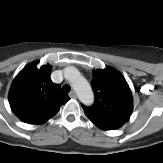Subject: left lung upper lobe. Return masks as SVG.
Here are the masks:
<instances>
[{
	"mask_svg": "<svg viewBox=\"0 0 163 163\" xmlns=\"http://www.w3.org/2000/svg\"><path fill=\"white\" fill-rule=\"evenodd\" d=\"M92 88L95 103L82 105L86 116L95 124L122 126L133 110V99L125 78L115 69L107 67L93 71Z\"/></svg>",
	"mask_w": 163,
	"mask_h": 163,
	"instance_id": "1",
	"label": "left lung upper lobe"
}]
</instances>
